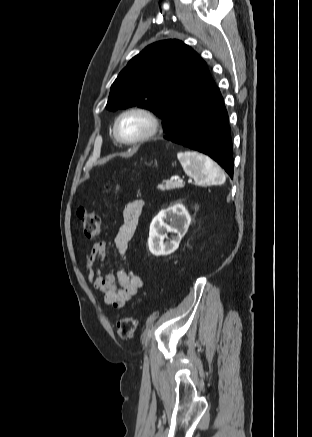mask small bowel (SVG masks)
Instances as JSON below:
<instances>
[{"instance_id":"small-bowel-1","label":"small bowel","mask_w":312,"mask_h":437,"mask_svg":"<svg viewBox=\"0 0 312 437\" xmlns=\"http://www.w3.org/2000/svg\"><path fill=\"white\" fill-rule=\"evenodd\" d=\"M143 208L141 199L129 201L123 210V222L115 236V247L122 258H125L129 243L137 228ZM107 255L105 241L93 245L85 259V275L87 281L103 295L106 305L120 309L144 287L143 279L126 270L116 274L106 272L102 265Z\"/></svg>"}]
</instances>
